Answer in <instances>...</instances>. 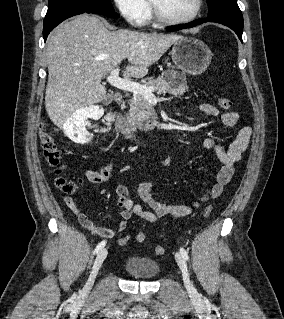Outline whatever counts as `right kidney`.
<instances>
[{
	"label": "right kidney",
	"instance_id": "1",
	"mask_svg": "<svg viewBox=\"0 0 284 319\" xmlns=\"http://www.w3.org/2000/svg\"><path fill=\"white\" fill-rule=\"evenodd\" d=\"M101 112L95 106L78 109L64 124V133L75 143H88L92 135L86 130L87 120L100 115Z\"/></svg>",
	"mask_w": 284,
	"mask_h": 319
}]
</instances>
